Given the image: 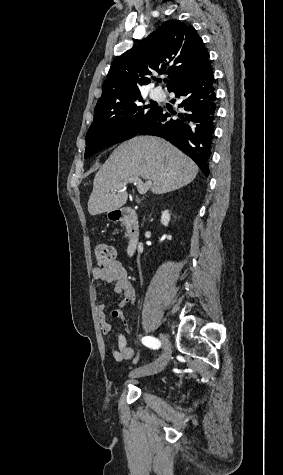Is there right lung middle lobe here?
<instances>
[{
    "label": "right lung middle lobe",
    "instance_id": "right-lung-middle-lobe-1",
    "mask_svg": "<svg viewBox=\"0 0 283 475\" xmlns=\"http://www.w3.org/2000/svg\"><path fill=\"white\" fill-rule=\"evenodd\" d=\"M139 101L144 102L140 95L123 103L95 108L94 121L86 134L85 158L133 138L160 109L141 106Z\"/></svg>",
    "mask_w": 283,
    "mask_h": 475
}]
</instances>
